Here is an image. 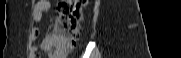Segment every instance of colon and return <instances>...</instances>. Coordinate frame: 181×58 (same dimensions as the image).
<instances>
[{
  "label": "colon",
  "mask_w": 181,
  "mask_h": 58,
  "mask_svg": "<svg viewBox=\"0 0 181 58\" xmlns=\"http://www.w3.org/2000/svg\"><path fill=\"white\" fill-rule=\"evenodd\" d=\"M86 6L87 0L59 2L56 29L48 38V48L54 55L66 56L78 42Z\"/></svg>",
  "instance_id": "1"
}]
</instances>
